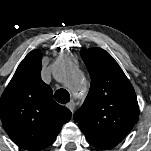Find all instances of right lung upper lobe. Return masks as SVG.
Instances as JSON below:
<instances>
[{"mask_svg": "<svg viewBox=\"0 0 151 151\" xmlns=\"http://www.w3.org/2000/svg\"><path fill=\"white\" fill-rule=\"evenodd\" d=\"M41 60L39 50L31 51L0 100L5 131L16 145L29 151L53 144L63 124L71 118L70 110L53 100L52 89L42 81Z\"/></svg>", "mask_w": 151, "mask_h": 151, "instance_id": "obj_1", "label": "right lung upper lobe"}]
</instances>
